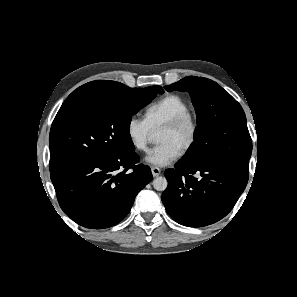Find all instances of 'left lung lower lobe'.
<instances>
[{
  "instance_id": "1",
  "label": "left lung lower lobe",
  "mask_w": 297,
  "mask_h": 297,
  "mask_svg": "<svg viewBox=\"0 0 297 297\" xmlns=\"http://www.w3.org/2000/svg\"><path fill=\"white\" fill-rule=\"evenodd\" d=\"M162 194L167 213L179 224L202 227L225 217L248 182V172L218 162L184 164L165 170Z\"/></svg>"
}]
</instances>
